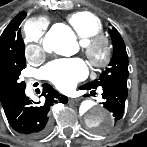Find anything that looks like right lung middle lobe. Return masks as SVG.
<instances>
[{
  "label": "right lung middle lobe",
  "instance_id": "obj_1",
  "mask_svg": "<svg viewBox=\"0 0 147 147\" xmlns=\"http://www.w3.org/2000/svg\"><path fill=\"white\" fill-rule=\"evenodd\" d=\"M18 20V27L26 17V12H21ZM20 30V28H19ZM11 55L0 70V100L19 94L25 91L26 84L20 81L19 76L21 71L26 67L25 61V45L22 40L21 32L17 38L12 37Z\"/></svg>",
  "mask_w": 147,
  "mask_h": 147
}]
</instances>
